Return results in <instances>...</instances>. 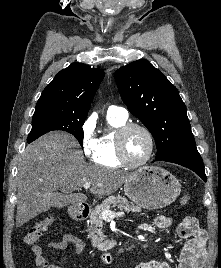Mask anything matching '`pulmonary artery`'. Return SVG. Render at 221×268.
Wrapping results in <instances>:
<instances>
[{
    "label": "pulmonary artery",
    "instance_id": "e3ab8cb5",
    "mask_svg": "<svg viewBox=\"0 0 221 268\" xmlns=\"http://www.w3.org/2000/svg\"><path fill=\"white\" fill-rule=\"evenodd\" d=\"M107 116L126 120L128 118V111L123 107L111 105L107 110Z\"/></svg>",
    "mask_w": 221,
    "mask_h": 268
}]
</instances>
